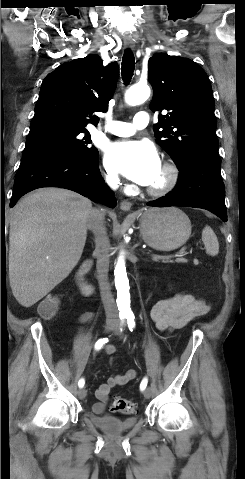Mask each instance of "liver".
<instances>
[{
  "mask_svg": "<svg viewBox=\"0 0 245 479\" xmlns=\"http://www.w3.org/2000/svg\"><path fill=\"white\" fill-rule=\"evenodd\" d=\"M89 199L66 189L41 188L11 212L9 279L12 293L31 307L62 282L81 258Z\"/></svg>",
  "mask_w": 245,
  "mask_h": 479,
  "instance_id": "6515ba94",
  "label": "liver"
}]
</instances>
